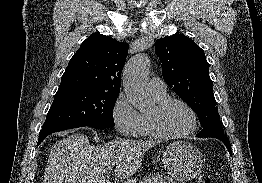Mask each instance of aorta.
Returning <instances> with one entry per match:
<instances>
[{
  "label": "aorta",
  "mask_w": 262,
  "mask_h": 183,
  "mask_svg": "<svg viewBox=\"0 0 262 183\" xmlns=\"http://www.w3.org/2000/svg\"><path fill=\"white\" fill-rule=\"evenodd\" d=\"M149 59L138 54L125 66L123 72V88L131 104L139 111H146L152 104L146 77L149 71Z\"/></svg>",
  "instance_id": "762f6f07"
}]
</instances>
